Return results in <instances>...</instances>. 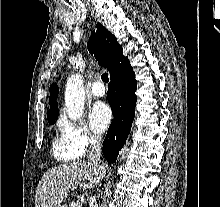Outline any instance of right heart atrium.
Listing matches in <instances>:
<instances>
[{
  "label": "right heart atrium",
  "mask_w": 220,
  "mask_h": 207,
  "mask_svg": "<svg viewBox=\"0 0 220 207\" xmlns=\"http://www.w3.org/2000/svg\"><path fill=\"white\" fill-rule=\"evenodd\" d=\"M59 129L63 139L83 154L100 142V136L91 132L82 120L71 121L63 117Z\"/></svg>",
  "instance_id": "obj_1"
}]
</instances>
